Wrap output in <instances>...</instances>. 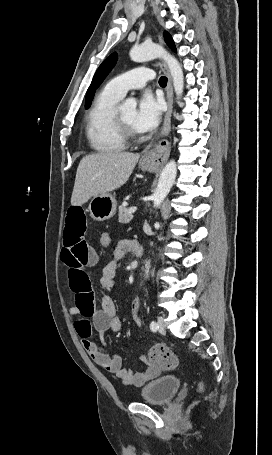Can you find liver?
I'll list each match as a JSON object with an SVG mask.
<instances>
[{
  "label": "liver",
  "mask_w": 272,
  "mask_h": 455,
  "mask_svg": "<svg viewBox=\"0 0 272 455\" xmlns=\"http://www.w3.org/2000/svg\"><path fill=\"white\" fill-rule=\"evenodd\" d=\"M139 157V154L128 152H102L83 157L76 172L72 206H81L92 197L123 186Z\"/></svg>",
  "instance_id": "obj_1"
}]
</instances>
